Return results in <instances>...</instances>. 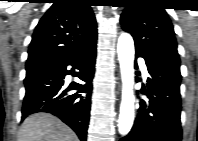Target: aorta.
I'll return each instance as SVG.
<instances>
[{
	"label": "aorta",
	"mask_w": 198,
	"mask_h": 141,
	"mask_svg": "<svg viewBox=\"0 0 198 141\" xmlns=\"http://www.w3.org/2000/svg\"><path fill=\"white\" fill-rule=\"evenodd\" d=\"M118 60L122 79V100L118 120V131L127 135L134 121V41L128 33H122L117 43Z\"/></svg>",
	"instance_id": "1"
}]
</instances>
